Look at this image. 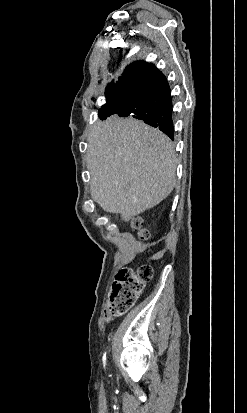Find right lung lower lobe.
Returning a JSON list of instances; mask_svg holds the SVG:
<instances>
[{
  "label": "right lung lower lobe",
  "instance_id": "right-lung-lower-lobe-1",
  "mask_svg": "<svg viewBox=\"0 0 247 413\" xmlns=\"http://www.w3.org/2000/svg\"><path fill=\"white\" fill-rule=\"evenodd\" d=\"M136 91L134 99L112 97L99 111L104 120L111 115L132 116L174 139L172 98L165 76L159 70L141 71L128 80Z\"/></svg>",
  "mask_w": 247,
  "mask_h": 413
}]
</instances>
